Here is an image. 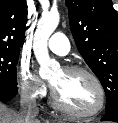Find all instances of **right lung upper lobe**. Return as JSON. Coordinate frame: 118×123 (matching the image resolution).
I'll list each match as a JSON object with an SVG mask.
<instances>
[{
    "label": "right lung upper lobe",
    "instance_id": "cb5924a9",
    "mask_svg": "<svg viewBox=\"0 0 118 123\" xmlns=\"http://www.w3.org/2000/svg\"><path fill=\"white\" fill-rule=\"evenodd\" d=\"M26 0H0V48L20 51L26 30Z\"/></svg>",
    "mask_w": 118,
    "mask_h": 123
}]
</instances>
